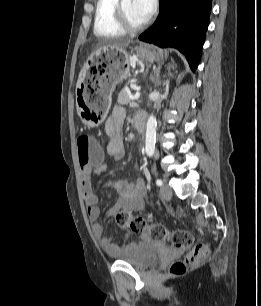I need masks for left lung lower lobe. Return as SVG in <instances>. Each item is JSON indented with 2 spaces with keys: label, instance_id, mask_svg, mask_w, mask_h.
<instances>
[{
  "label": "left lung lower lobe",
  "instance_id": "1",
  "mask_svg": "<svg viewBox=\"0 0 261 306\" xmlns=\"http://www.w3.org/2000/svg\"><path fill=\"white\" fill-rule=\"evenodd\" d=\"M212 0H161L155 23L139 39L183 52L196 70L209 25Z\"/></svg>",
  "mask_w": 261,
  "mask_h": 306
}]
</instances>
